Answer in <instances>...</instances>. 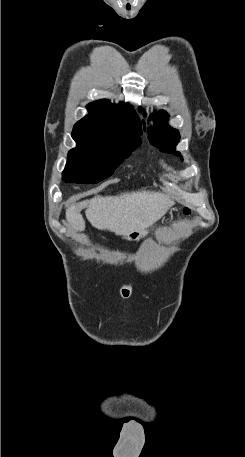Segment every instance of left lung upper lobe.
<instances>
[{"label":"left lung upper lobe","mask_w":245,"mask_h":457,"mask_svg":"<svg viewBox=\"0 0 245 457\" xmlns=\"http://www.w3.org/2000/svg\"><path fill=\"white\" fill-rule=\"evenodd\" d=\"M167 118L168 114L165 111H158L153 115V120L156 123L149 132V139L160 150L180 156V153L175 151V147L180 139L179 132L163 123L167 121Z\"/></svg>","instance_id":"1"}]
</instances>
